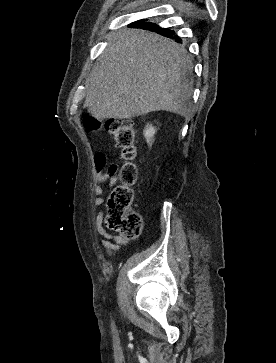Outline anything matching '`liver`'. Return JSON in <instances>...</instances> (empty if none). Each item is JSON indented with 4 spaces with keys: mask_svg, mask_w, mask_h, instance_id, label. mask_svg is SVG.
Instances as JSON below:
<instances>
[{
    "mask_svg": "<svg viewBox=\"0 0 276 363\" xmlns=\"http://www.w3.org/2000/svg\"><path fill=\"white\" fill-rule=\"evenodd\" d=\"M88 80L84 107L95 119L153 111L189 117L193 63L176 42L142 29L113 35Z\"/></svg>",
    "mask_w": 276,
    "mask_h": 363,
    "instance_id": "6515ba94",
    "label": "liver"
}]
</instances>
